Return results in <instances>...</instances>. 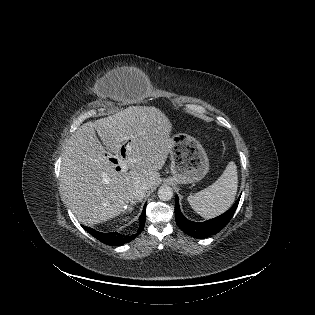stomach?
Listing matches in <instances>:
<instances>
[{
  "mask_svg": "<svg viewBox=\"0 0 315 315\" xmlns=\"http://www.w3.org/2000/svg\"><path fill=\"white\" fill-rule=\"evenodd\" d=\"M171 140L170 169L174 180L191 184L203 179L209 170V160L200 142L186 133L175 134Z\"/></svg>",
  "mask_w": 315,
  "mask_h": 315,
  "instance_id": "0dacf381",
  "label": "stomach"
}]
</instances>
